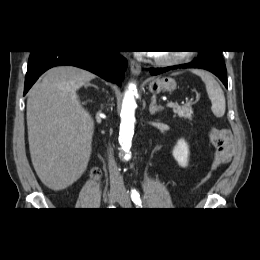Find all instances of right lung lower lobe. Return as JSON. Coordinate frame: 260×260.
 I'll return each instance as SVG.
<instances>
[{"label": "right lung lower lobe", "instance_id": "obj_1", "mask_svg": "<svg viewBox=\"0 0 260 260\" xmlns=\"http://www.w3.org/2000/svg\"><path fill=\"white\" fill-rule=\"evenodd\" d=\"M59 65H72L119 84L127 62L118 51H31L25 77L24 95L46 70Z\"/></svg>", "mask_w": 260, "mask_h": 260}]
</instances>
